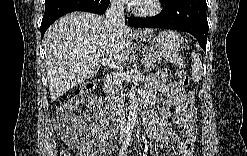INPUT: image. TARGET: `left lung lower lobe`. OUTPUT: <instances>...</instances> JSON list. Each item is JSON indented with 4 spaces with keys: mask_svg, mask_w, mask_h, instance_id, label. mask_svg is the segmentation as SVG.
Returning <instances> with one entry per match:
<instances>
[{
    "mask_svg": "<svg viewBox=\"0 0 247 156\" xmlns=\"http://www.w3.org/2000/svg\"><path fill=\"white\" fill-rule=\"evenodd\" d=\"M206 0H170L155 17L129 18L134 27L166 28L192 34L206 52L208 22Z\"/></svg>",
    "mask_w": 247,
    "mask_h": 156,
    "instance_id": "obj_1",
    "label": "left lung lower lobe"
}]
</instances>
